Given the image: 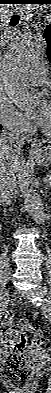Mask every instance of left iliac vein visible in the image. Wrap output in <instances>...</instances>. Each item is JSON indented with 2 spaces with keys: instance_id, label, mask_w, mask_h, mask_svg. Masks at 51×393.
<instances>
[{
  "instance_id": "4c4485c4",
  "label": "left iliac vein",
  "mask_w": 51,
  "mask_h": 393,
  "mask_svg": "<svg viewBox=\"0 0 51 393\" xmlns=\"http://www.w3.org/2000/svg\"><path fill=\"white\" fill-rule=\"evenodd\" d=\"M45 292H46V290H45V289H42V287H38V288L36 289V294H37V295L44 296V293H45ZM41 309L44 310V311H46V312H50V311H51V303H50L49 301H47L45 298H44L43 301H42Z\"/></svg>"
}]
</instances>
